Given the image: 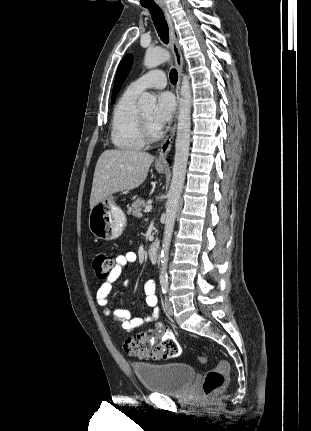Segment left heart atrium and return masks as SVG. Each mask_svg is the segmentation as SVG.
I'll use <instances>...</instances> for the list:
<instances>
[{
	"instance_id": "left-heart-atrium-1",
	"label": "left heart atrium",
	"mask_w": 311,
	"mask_h": 431,
	"mask_svg": "<svg viewBox=\"0 0 311 431\" xmlns=\"http://www.w3.org/2000/svg\"><path fill=\"white\" fill-rule=\"evenodd\" d=\"M176 107V99L172 93L165 91L159 94L153 114V124L158 132L171 121L175 114Z\"/></svg>"
}]
</instances>
